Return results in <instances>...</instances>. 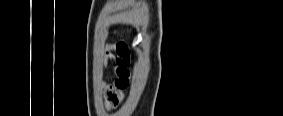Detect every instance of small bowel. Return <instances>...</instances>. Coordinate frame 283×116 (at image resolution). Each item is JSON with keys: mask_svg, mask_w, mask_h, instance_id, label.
I'll return each instance as SVG.
<instances>
[{"mask_svg": "<svg viewBox=\"0 0 283 116\" xmlns=\"http://www.w3.org/2000/svg\"><path fill=\"white\" fill-rule=\"evenodd\" d=\"M107 54L111 55L113 50L116 54L113 56L115 61V71L118 77H124L129 75L127 65L129 62V53L123 44H107L105 47Z\"/></svg>", "mask_w": 283, "mask_h": 116, "instance_id": "c3829d8e", "label": "small bowel"}]
</instances>
